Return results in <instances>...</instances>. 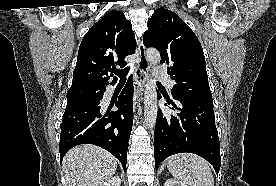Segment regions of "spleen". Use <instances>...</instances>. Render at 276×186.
<instances>
[{
    "mask_svg": "<svg viewBox=\"0 0 276 186\" xmlns=\"http://www.w3.org/2000/svg\"><path fill=\"white\" fill-rule=\"evenodd\" d=\"M167 168L177 180L188 186H214V177L208 162L197 155H173L167 160Z\"/></svg>",
    "mask_w": 276,
    "mask_h": 186,
    "instance_id": "spleen-1",
    "label": "spleen"
}]
</instances>
